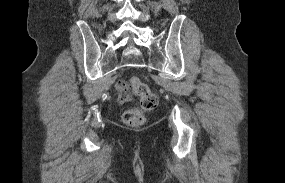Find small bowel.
<instances>
[{
    "label": "small bowel",
    "instance_id": "1",
    "mask_svg": "<svg viewBox=\"0 0 285 183\" xmlns=\"http://www.w3.org/2000/svg\"><path fill=\"white\" fill-rule=\"evenodd\" d=\"M115 90L118 94V102L120 104L126 103L130 98V87L129 84L124 81L120 80L115 84Z\"/></svg>",
    "mask_w": 285,
    "mask_h": 183
}]
</instances>
